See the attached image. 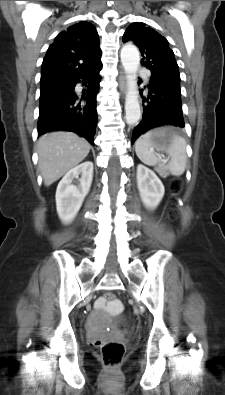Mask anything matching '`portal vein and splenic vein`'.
Returning a JSON list of instances; mask_svg holds the SVG:
<instances>
[{"instance_id": "1", "label": "portal vein and splenic vein", "mask_w": 225, "mask_h": 395, "mask_svg": "<svg viewBox=\"0 0 225 395\" xmlns=\"http://www.w3.org/2000/svg\"><path fill=\"white\" fill-rule=\"evenodd\" d=\"M159 160H160L163 164H166V163H167V160H166L165 158H162L161 156L159 157Z\"/></svg>"}]
</instances>
